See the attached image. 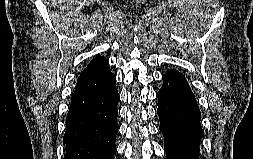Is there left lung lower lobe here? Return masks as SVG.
Listing matches in <instances>:
<instances>
[{
    "label": "left lung lower lobe",
    "mask_w": 253,
    "mask_h": 159,
    "mask_svg": "<svg viewBox=\"0 0 253 159\" xmlns=\"http://www.w3.org/2000/svg\"><path fill=\"white\" fill-rule=\"evenodd\" d=\"M162 79L163 86L157 93V114L167 159H199V143L204 132L196 99L178 71L169 70Z\"/></svg>",
    "instance_id": "left-lung-lower-lobe-1"
}]
</instances>
